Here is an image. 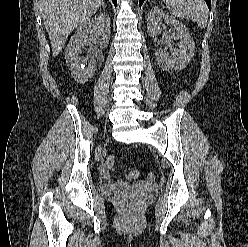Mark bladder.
Here are the masks:
<instances>
[{"label":"bladder","instance_id":"1","mask_svg":"<svg viewBox=\"0 0 248 247\" xmlns=\"http://www.w3.org/2000/svg\"><path fill=\"white\" fill-rule=\"evenodd\" d=\"M101 189L102 192L105 194H116L121 190V188L118 185L111 183L103 184Z\"/></svg>","mask_w":248,"mask_h":247}]
</instances>
